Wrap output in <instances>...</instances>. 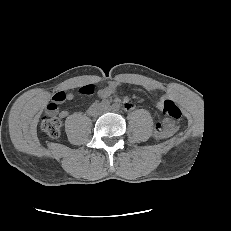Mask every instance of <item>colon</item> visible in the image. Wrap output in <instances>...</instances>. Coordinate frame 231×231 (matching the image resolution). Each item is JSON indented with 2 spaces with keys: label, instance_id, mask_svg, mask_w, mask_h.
Returning a JSON list of instances; mask_svg holds the SVG:
<instances>
[{
  "label": "colon",
  "instance_id": "5ec220e1",
  "mask_svg": "<svg viewBox=\"0 0 231 231\" xmlns=\"http://www.w3.org/2000/svg\"><path fill=\"white\" fill-rule=\"evenodd\" d=\"M80 93L91 95L94 92V86L89 84L80 88ZM60 98L54 96L52 102L47 106V112L42 118L41 128L51 138H58L61 133V121L56 116L57 101ZM163 113L168 117L164 125L158 124L156 135L165 137L173 129V121L179 120L182 116L180 108L170 99H164L162 104Z\"/></svg>",
  "mask_w": 231,
  "mask_h": 231
}]
</instances>
